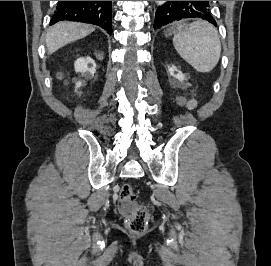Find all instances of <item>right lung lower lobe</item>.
Listing matches in <instances>:
<instances>
[{"mask_svg":"<svg viewBox=\"0 0 271 266\" xmlns=\"http://www.w3.org/2000/svg\"><path fill=\"white\" fill-rule=\"evenodd\" d=\"M112 1H59L51 24L63 20L91 23L112 33Z\"/></svg>","mask_w":271,"mask_h":266,"instance_id":"1","label":"right lung lower lobe"}]
</instances>
